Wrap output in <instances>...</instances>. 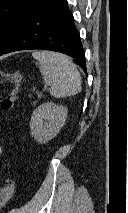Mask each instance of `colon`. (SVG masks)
Segmentation results:
<instances>
[{
    "mask_svg": "<svg viewBox=\"0 0 128 213\" xmlns=\"http://www.w3.org/2000/svg\"><path fill=\"white\" fill-rule=\"evenodd\" d=\"M22 76L19 71L1 72L0 71V83L9 82L12 84L11 93L1 101L0 107L3 110L12 109L15 100L17 99V93L21 83ZM15 184L12 179H7L5 185L0 188V208L7 203L14 193Z\"/></svg>",
    "mask_w": 128,
    "mask_h": 213,
    "instance_id": "obj_1",
    "label": "colon"
}]
</instances>
